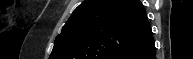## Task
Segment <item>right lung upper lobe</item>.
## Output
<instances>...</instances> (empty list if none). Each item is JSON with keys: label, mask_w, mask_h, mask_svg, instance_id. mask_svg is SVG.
<instances>
[{"label": "right lung upper lobe", "mask_w": 193, "mask_h": 59, "mask_svg": "<svg viewBox=\"0 0 193 59\" xmlns=\"http://www.w3.org/2000/svg\"><path fill=\"white\" fill-rule=\"evenodd\" d=\"M151 37L139 0H85L56 37L49 59H124Z\"/></svg>", "instance_id": "cb5924a9"}]
</instances>
